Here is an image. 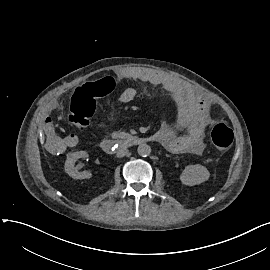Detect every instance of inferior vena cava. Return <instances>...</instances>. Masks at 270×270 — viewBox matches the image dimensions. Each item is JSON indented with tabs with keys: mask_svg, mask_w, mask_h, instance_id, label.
<instances>
[{
	"mask_svg": "<svg viewBox=\"0 0 270 270\" xmlns=\"http://www.w3.org/2000/svg\"><path fill=\"white\" fill-rule=\"evenodd\" d=\"M129 153L128 149H120L117 152V157H124L125 155H127Z\"/></svg>",
	"mask_w": 270,
	"mask_h": 270,
	"instance_id": "obj_1",
	"label": "inferior vena cava"
}]
</instances>
